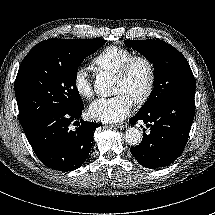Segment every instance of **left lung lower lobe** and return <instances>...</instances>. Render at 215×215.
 Segmentation results:
<instances>
[{
	"label": "left lung lower lobe",
	"mask_w": 215,
	"mask_h": 215,
	"mask_svg": "<svg viewBox=\"0 0 215 215\" xmlns=\"http://www.w3.org/2000/svg\"><path fill=\"white\" fill-rule=\"evenodd\" d=\"M194 96L191 91L167 98L129 119L131 124L142 120L151 130L130 149L139 164L150 169L165 167L182 154L195 115Z\"/></svg>",
	"instance_id": "obj_1"
}]
</instances>
